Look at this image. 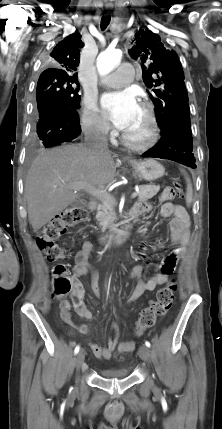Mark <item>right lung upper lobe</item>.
I'll list each match as a JSON object with an SVG mask.
<instances>
[{
	"label": "right lung upper lobe",
	"instance_id": "cb5924a9",
	"mask_svg": "<svg viewBox=\"0 0 222 429\" xmlns=\"http://www.w3.org/2000/svg\"><path fill=\"white\" fill-rule=\"evenodd\" d=\"M84 47L81 35L78 33L67 36L59 42L50 54L51 67L43 71V77H71L77 79L76 70L80 61V50Z\"/></svg>",
	"mask_w": 222,
	"mask_h": 429
}]
</instances>
